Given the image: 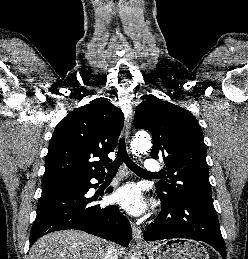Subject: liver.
Returning <instances> with one entry per match:
<instances>
[{"instance_id": "1", "label": "liver", "mask_w": 248, "mask_h": 259, "mask_svg": "<svg viewBox=\"0 0 248 259\" xmlns=\"http://www.w3.org/2000/svg\"><path fill=\"white\" fill-rule=\"evenodd\" d=\"M106 241L78 230L49 233L35 242L28 259H103ZM118 255L122 249H116Z\"/></svg>"}]
</instances>
